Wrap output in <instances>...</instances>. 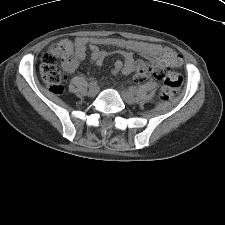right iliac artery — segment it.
<instances>
[{
    "instance_id": "right-iliac-artery-1",
    "label": "right iliac artery",
    "mask_w": 225,
    "mask_h": 225,
    "mask_svg": "<svg viewBox=\"0 0 225 225\" xmlns=\"http://www.w3.org/2000/svg\"><path fill=\"white\" fill-rule=\"evenodd\" d=\"M93 85H97V81H96V80H92V81L90 82V86H93Z\"/></svg>"
}]
</instances>
